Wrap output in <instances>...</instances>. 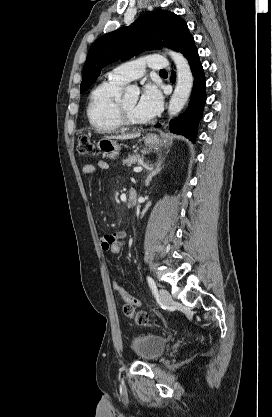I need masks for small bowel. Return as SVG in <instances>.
<instances>
[{
	"instance_id": "small-bowel-1",
	"label": "small bowel",
	"mask_w": 272,
	"mask_h": 417,
	"mask_svg": "<svg viewBox=\"0 0 272 417\" xmlns=\"http://www.w3.org/2000/svg\"><path fill=\"white\" fill-rule=\"evenodd\" d=\"M109 167L108 163L103 161V160H99L95 165L94 164H86L83 166L82 168V173L84 175H91L93 174L97 169L100 170H107ZM126 234L124 231H114L111 233H107L105 234L102 239H101V246L102 249L107 251L108 248V244L116 238H125Z\"/></svg>"
}]
</instances>
